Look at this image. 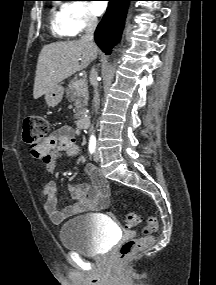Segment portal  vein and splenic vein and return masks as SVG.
<instances>
[{"instance_id":"18ae733b","label":"portal vein and splenic vein","mask_w":216,"mask_h":285,"mask_svg":"<svg viewBox=\"0 0 216 285\" xmlns=\"http://www.w3.org/2000/svg\"><path fill=\"white\" fill-rule=\"evenodd\" d=\"M83 84V79H80V80H77L75 83H74V86L76 88L80 87L81 85Z\"/></svg>"}]
</instances>
